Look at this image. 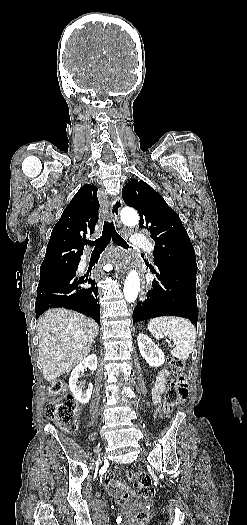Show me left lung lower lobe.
Listing matches in <instances>:
<instances>
[{"mask_svg":"<svg viewBox=\"0 0 247 525\" xmlns=\"http://www.w3.org/2000/svg\"><path fill=\"white\" fill-rule=\"evenodd\" d=\"M157 280L142 304L133 311V323L159 316H181L197 326L196 275L150 267Z\"/></svg>","mask_w":247,"mask_h":525,"instance_id":"1","label":"left lung lower lobe"}]
</instances>
